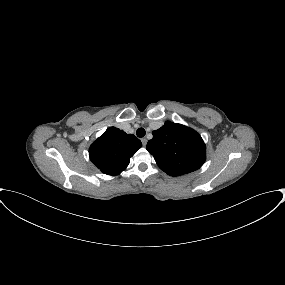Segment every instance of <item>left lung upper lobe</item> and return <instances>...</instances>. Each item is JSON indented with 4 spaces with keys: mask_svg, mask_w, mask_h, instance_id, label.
<instances>
[{
    "mask_svg": "<svg viewBox=\"0 0 285 285\" xmlns=\"http://www.w3.org/2000/svg\"><path fill=\"white\" fill-rule=\"evenodd\" d=\"M146 149L161 170L180 176L199 169L206 159V146L201 136L182 124L165 122L152 132Z\"/></svg>",
    "mask_w": 285,
    "mask_h": 285,
    "instance_id": "1",
    "label": "left lung upper lobe"
}]
</instances>
